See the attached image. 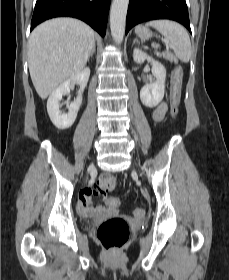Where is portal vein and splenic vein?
<instances>
[{
  "instance_id": "obj_1",
  "label": "portal vein and splenic vein",
  "mask_w": 229,
  "mask_h": 280,
  "mask_svg": "<svg viewBox=\"0 0 229 280\" xmlns=\"http://www.w3.org/2000/svg\"><path fill=\"white\" fill-rule=\"evenodd\" d=\"M164 42H165V45H166V48H167V49L171 47V45L169 44L168 41H165V40H164Z\"/></svg>"
}]
</instances>
